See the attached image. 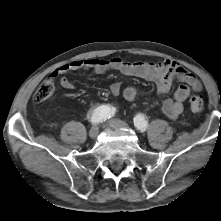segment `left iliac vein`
Wrapping results in <instances>:
<instances>
[{"label":"left iliac vein","mask_w":221,"mask_h":221,"mask_svg":"<svg viewBox=\"0 0 221 221\" xmlns=\"http://www.w3.org/2000/svg\"><path fill=\"white\" fill-rule=\"evenodd\" d=\"M109 125L116 129V130H120V129H129V126L126 122H123L121 120L118 119H112L109 121Z\"/></svg>","instance_id":"obj_1"}]
</instances>
